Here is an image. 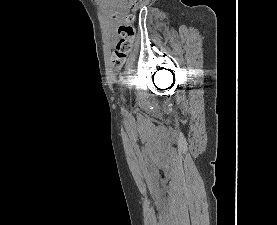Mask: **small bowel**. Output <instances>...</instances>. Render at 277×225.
<instances>
[{
  "mask_svg": "<svg viewBox=\"0 0 277 225\" xmlns=\"http://www.w3.org/2000/svg\"><path fill=\"white\" fill-rule=\"evenodd\" d=\"M120 16H121V7L111 12V18L114 20H118Z\"/></svg>",
  "mask_w": 277,
  "mask_h": 225,
  "instance_id": "obj_1",
  "label": "small bowel"
}]
</instances>
